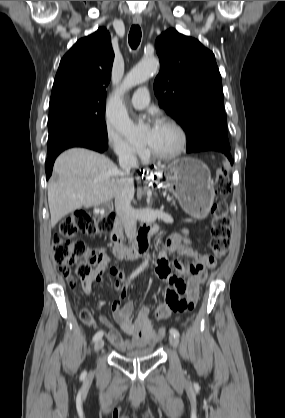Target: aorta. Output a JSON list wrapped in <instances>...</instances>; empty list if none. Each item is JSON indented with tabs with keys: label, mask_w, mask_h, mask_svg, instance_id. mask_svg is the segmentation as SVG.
<instances>
[{
	"label": "aorta",
	"mask_w": 285,
	"mask_h": 418,
	"mask_svg": "<svg viewBox=\"0 0 285 418\" xmlns=\"http://www.w3.org/2000/svg\"><path fill=\"white\" fill-rule=\"evenodd\" d=\"M159 65L155 57H145L135 65L124 78L117 90L115 97L110 101L107 117L109 123L128 141L133 142L143 135L144 129L136 126L129 118L126 108L123 106L120 97L130 88L146 82ZM149 264V257L145 258L141 269Z\"/></svg>",
	"instance_id": "obj_1"
}]
</instances>
